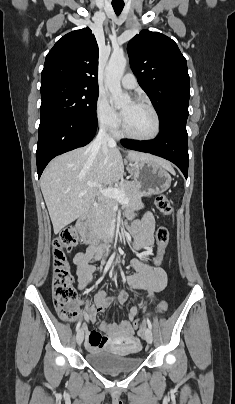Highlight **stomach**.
<instances>
[{"mask_svg":"<svg viewBox=\"0 0 235 404\" xmlns=\"http://www.w3.org/2000/svg\"><path fill=\"white\" fill-rule=\"evenodd\" d=\"M129 166L142 196L161 194L171 185L172 179L167 169L154 159L130 162Z\"/></svg>","mask_w":235,"mask_h":404,"instance_id":"0dacf381","label":"stomach"}]
</instances>
